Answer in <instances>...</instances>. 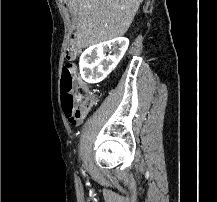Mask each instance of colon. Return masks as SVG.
<instances>
[{"instance_id":"1","label":"colon","mask_w":217,"mask_h":202,"mask_svg":"<svg viewBox=\"0 0 217 202\" xmlns=\"http://www.w3.org/2000/svg\"><path fill=\"white\" fill-rule=\"evenodd\" d=\"M77 52H79V47H67L64 60H72V63H67L63 68L61 79L63 81L62 103L64 111H66L65 117H70V123L79 128L80 124L77 121L82 119L83 112L91 111V107L97 103V98L96 93H86V86H80L86 85V80H77L81 73V64L75 63L74 60V55H77Z\"/></svg>"}]
</instances>
